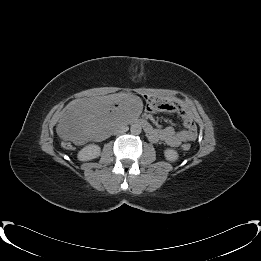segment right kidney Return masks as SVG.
<instances>
[{"label": "right kidney", "instance_id": "ca27d5eb", "mask_svg": "<svg viewBox=\"0 0 261 261\" xmlns=\"http://www.w3.org/2000/svg\"><path fill=\"white\" fill-rule=\"evenodd\" d=\"M101 149L96 144H89L83 147L78 152V159L80 161H88L97 158L100 155Z\"/></svg>", "mask_w": 261, "mask_h": 261}]
</instances>
